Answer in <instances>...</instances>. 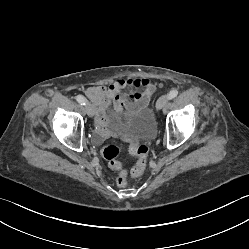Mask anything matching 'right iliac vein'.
<instances>
[{"instance_id":"right-iliac-vein-1","label":"right iliac vein","mask_w":249,"mask_h":249,"mask_svg":"<svg viewBox=\"0 0 249 249\" xmlns=\"http://www.w3.org/2000/svg\"><path fill=\"white\" fill-rule=\"evenodd\" d=\"M85 111H86V113H87V115L89 117H93L94 116V107H93V105L91 103L86 102V104H85Z\"/></svg>"}]
</instances>
